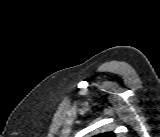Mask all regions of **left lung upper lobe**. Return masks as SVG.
I'll list each match as a JSON object with an SVG mask.
<instances>
[{
	"mask_svg": "<svg viewBox=\"0 0 160 137\" xmlns=\"http://www.w3.org/2000/svg\"><path fill=\"white\" fill-rule=\"evenodd\" d=\"M94 137H115V135L112 132H105V133L98 134Z\"/></svg>",
	"mask_w": 160,
	"mask_h": 137,
	"instance_id": "obj_1",
	"label": "left lung upper lobe"
}]
</instances>
